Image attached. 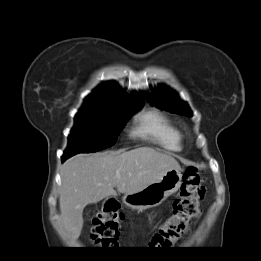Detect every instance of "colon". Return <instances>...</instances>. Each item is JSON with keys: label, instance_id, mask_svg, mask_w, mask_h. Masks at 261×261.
<instances>
[{"label": "colon", "instance_id": "colon-1", "mask_svg": "<svg viewBox=\"0 0 261 261\" xmlns=\"http://www.w3.org/2000/svg\"><path fill=\"white\" fill-rule=\"evenodd\" d=\"M204 194L201 175L194 168L187 169L179 197L173 203L172 215L153 235L150 246L165 248L177 243L188 231L190 222L200 215V202ZM123 217L116 202L105 203L92 220L91 241L103 248H116Z\"/></svg>", "mask_w": 261, "mask_h": 261}]
</instances>
